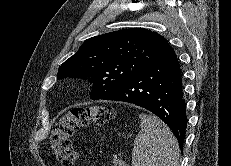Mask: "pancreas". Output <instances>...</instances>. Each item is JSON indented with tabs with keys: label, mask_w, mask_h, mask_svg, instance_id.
Returning <instances> with one entry per match:
<instances>
[{
	"label": "pancreas",
	"mask_w": 231,
	"mask_h": 166,
	"mask_svg": "<svg viewBox=\"0 0 231 166\" xmlns=\"http://www.w3.org/2000/svg\"><path fill=\"white\" fill-rule=\"evenodd\" d=\"M119 163L116 161V160H114V166H117Z\"/></svg>",
	"instance_id": "obj_1"
}]
</instances>
